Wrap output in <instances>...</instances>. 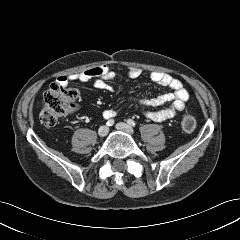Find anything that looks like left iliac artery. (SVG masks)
Returning <instances> with one entry per match:
<instances>
[{"label":"left iliac artery","instance_id":"left-iliac-artery-1","mask_svg":"<svg viewBox=\"0 0 240 240\" xmlns=\"http://www.w3.org/2000/svg\"><path fill=\"white\" fill-rule=\"evenodd\" d=\"M127 123L130 125V126H135V122L132 120V119H128L127 120Z\"/></svg>","mask_w":240,"mask_h":240}]
</instances>
